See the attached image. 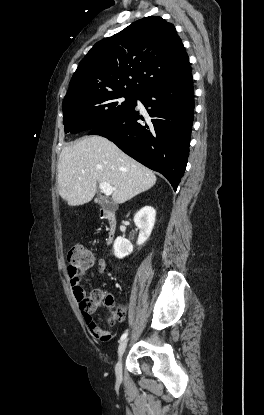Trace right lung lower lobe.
I'll use <instances>...</instances> for the list:
<instances>
[{
	"label": "right lung lower lobe",
	"mask_w": 264,
	"mask_h": 415,
	"mask_svg": "<svg viewBox=\"0 0 264 415\" xmlns=\"http://www.w3.org/2000/svg\"><path fill=\"white\" fill-rule=\"evenodd\" d=\"M144 116L135 106L115 119L93 128L126 154L160 172L177 189L187 165L194 115L191 72L186 76L150 87L138 95Z\"/></svg>",
	"instance_id": "98d812e1"
}]
</instances>
